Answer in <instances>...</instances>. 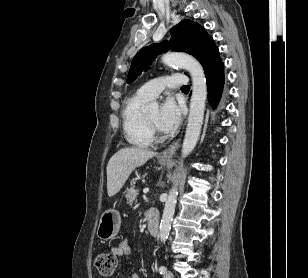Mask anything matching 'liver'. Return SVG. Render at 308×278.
<instances>
[{
  "instance_id": "liver-1",
  "label": "liver",
  "mask_w": 308,
  "mask_h": 278,
  "mask_svg": "<svg viewBox=\"0 0 308 278\" xmlns=\"http://www.w3.org/2000/svg\"><path fill=\"white\" fill-rule=\"evenodd\" d=\"M157 152L141 148H123L116 152L107 164V192L108 196L116 195L137 167L144 165Z\"/></svg>"
}]
</instances>
